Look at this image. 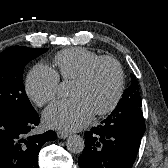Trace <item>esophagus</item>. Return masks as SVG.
<instances>
[{"label":"esophagus","instance_id":"obj_1","mask_svg":"<svg viewBox=\"0 0 168 168\" xmlns=\"http://www.w3.org/2000/svg\"><path fill=\"white\" fill-rule=\"evenodd\" d=\"M70 134L68 132H64V131H58L57 132V136L60 139H65L69 136Z\"/></svg>","mask_w":168,"mask_h":168}]
</instances>
